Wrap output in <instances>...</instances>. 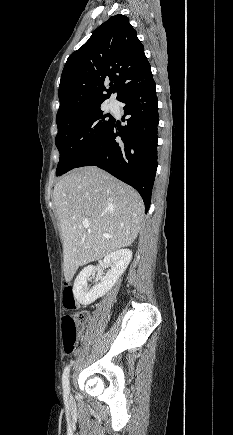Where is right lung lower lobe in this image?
Instances as JSON below:
<instances>
[{
    "mask_svg": "<svg viewBox=\"0 0 233 435\" xmlns=\"http://www.w3.org/2000/svg\"><path fill=\"white\" fill-rule=\"evenodd\" d=\"M125 103L120 126L115 119L102 140L76 166H97L135 188L141 195L146 212L157 170L158 100L150 73L131 85L119 99ZM120 136L122 142H116ZM75 167V168H76Z\"/></svg>",
    "mask_w": 233,
    "mask_h": 435,
    "instance_id": "1",
    "label": "right lung lower lobe"
}]
</instances>
